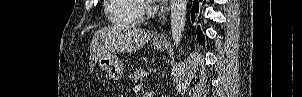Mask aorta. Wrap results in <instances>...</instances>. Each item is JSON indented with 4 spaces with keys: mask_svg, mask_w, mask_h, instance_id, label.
Segmentation results:
<instances>
[{
    "mask_svg": "<svg viewBox=\"0 0 302 97\" xmlns=\"http://www.w3.org/2000/svg\"><path fill=\"white\" fill-rule=\"evenodd\" d=\"M187 0H171V36L177 48L183 38L186 22Z\"/></svg>",
    "mask_w": 302,
    "mask_h": 97,
    "instance_id": "1",
    "label": "aorta"
}]
</instances>
